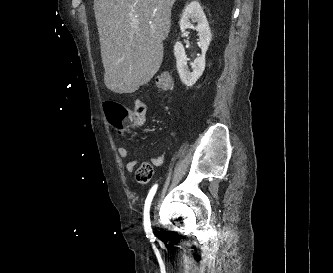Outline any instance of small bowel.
I'll return each instance as SVG.
<instances>
[{"label":"small bowel","instance_id":"small-bowel-1","mask_svg":"<svg viewBox=\"0 0 333 273\" xmlns=\"http://www.w3.org/2000/svg\"><path fill=\"white\" fill-rule=\"evenodd\" d=\"M147 104L144 100L135 99L132 101L131 112L134 113L136 118V123H139L137 126H141L144 123H147ZM173 144L170 145L168 150L156 157H150V163L155 167H160L164 164L166 160V156L168 152L172 149ZM118 154L121 158L127 159L130 157L129 150L126 147L120 146L118 147ZM137 160H129L126 165L125 169L127 172H133L135 167L137 166Z\"/></svg>","mask_w":333,"mask_h":273}]
</instances>
